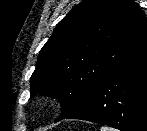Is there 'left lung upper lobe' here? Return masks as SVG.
Wrapping results in <instances>:
<instances>
[{
	"instance_id": "5c2ea615",
	"label": "left lung upper lobe",
	"mask_w": 147,
	"mask_h": 131,
	"mask_svg": "<svg viewBox=\"0 0 147 131\" xmlns=\"http://www.w3.org/2000/svg\"><path fill=\"white\" fill-rule=\"evenodd\" d=\"M147 42V18L132 0H84L56 26L31 76L38 93L61 102L63 120L81 108L124 57Z\"/></svg>"
}]
</instances>
